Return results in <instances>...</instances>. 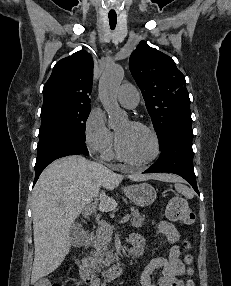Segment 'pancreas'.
I'll return each mask as SVG.
<instances>
[{
    "label": "pancreas",
    "instance_id": "1",
    "mask_svg": "<svg viewBox=\"0 0 231 286\" xmlns=\"http://www.w3.org/2000/svg\"><path fill=\"white\" fill-rule=\"evenodd\" d=\"M131 225L139 228L144 224L145 216L138 211L132 213ZM112 236V227H101L91 236V246L95 249L88 258L90 268L100 271L104 266H109L113 255L108 252L109 243Z\"/></svg>",
    "mask_w": 231,
    "mask_h": 286
}]
</instances>
